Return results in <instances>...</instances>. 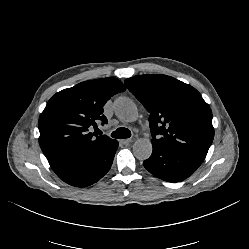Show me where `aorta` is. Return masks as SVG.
<instances>
[{
	"mask_svg": "<svg viewBox=\"0 0 249 249\" xmlns=\"http://www.w3.org/2000/svg\"><path fill=\"white\" fill-rule=\"evenodd\" d=\"M114 111L124 122H134L138 118L135 103L127 97H118L114 101ZM133 154L138 160H146L152 154V143L147 138H140L133 144Z\"/></svg>",
	"mask_w": 249,
	"mask_h": 249,
	"instance_id": "1",
	"label": "aorta"
}]
</instances>
